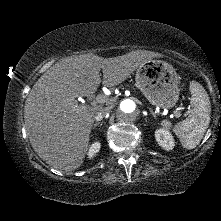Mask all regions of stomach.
<instances>
[{
	"label": "stomach",
	"mask_w": 221,
	"mask_h": 221,
	"mask_svg": "<svg viewBox=\"0 0 221 221\" xmlns=\"http://www.w3.org/2000/svg\"><path fill=\"white\" fill-rule=\"evenodd\" d=\"M135 80L140 91L154 106L169 109L178 101V75L166 61L151 59L139 66Z\"/></svg>",
	"instance_id": "0dacf381"
}]
</instances>
